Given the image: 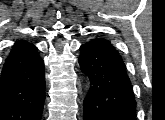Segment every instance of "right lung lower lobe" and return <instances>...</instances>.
<instances>
[{
	"mask_svg": "<svg viewBox=\"0 0 165 120\" xmlns=\"http://www.w3.org/2000/svg\"><path fill=\"white\" fill-rule=\"evenodd\" d=\"M44 100V62L34 45L17 41L1 72L0 120H40Z\"/></svg>",
	"mask_w": 165,
	"mask_h": 120,
	"instance_id": "obj_1",
	"label": "right lung lower lobe"
}]
</instances>
